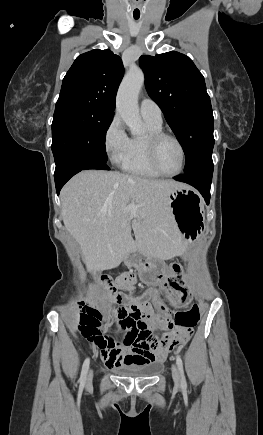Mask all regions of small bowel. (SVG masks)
Returning <instances> with one entry per match:
<instances>
[{"label": "small bowel", "mask_w": 263, "mask_h": 435, "mask_svg": "<svg viewBox=\"0 0 263 435\" xmlns=\"http://www.w3.org/2000/svg\"><path fill=\"white\" fill-rule=\"evenodd\" d=\"M135 274L128 272L118 276L114 282V289L125 290L129 292L126 297L121 300L112 299L116 304L123 305L114 316V324L121 329L126 328H147L149 332L163 327L171 331L170 334H165L169 340L164 350H100L101 357L109 368L121 366L144 365L154 361L163 362L167 355H171L174 350H179L180 343L176 341V336L172 334L175 330H180L182 327L188 330L191 324L185 321L183 324L180 321H171L168 318H163L161 321L156 317L150 304L145 302L139 295L135 293ZM80 307L83 313L101 311L90 301L82 302ZM102 319L105 316L101 313Z\"/></svg>", "instance_id": "small-bowel-1"}]
</instances>
